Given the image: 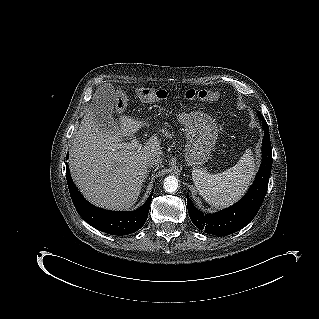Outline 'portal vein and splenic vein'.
Masks as SVG:
<instances>
[{"label":"portal vein and splenic vein","mask_w":319,"mask_h":319,"mask_svg":"<svg viewBox=\"0 0 319 319\" xmlns=\"http://www.w3.org/2000/svg\"><path fill=\"white\" fill-rule=\"evenodd\" d=\"M118 149L126 148V149H138L140 148V141L137 139L132 140L129 143H120L117 144Z\"/></svg>","instance_id":"portal-vein-and-splenic-vein-1"}]
</instances>
